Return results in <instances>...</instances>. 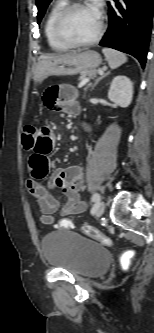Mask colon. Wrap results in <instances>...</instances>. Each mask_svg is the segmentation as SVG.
<instances>
[{"label":"colon","instance_id":"1","mask_svg":"<svg viewBox=\"0 0 154 333\" xmlns=\"http://www.w3.org/2000/svg\"><path fill=\"white\" fill-rule=\"evenodd\" d=\"M38 126L35 123L28 124L24 127L22 134H21V141H22V147L25 151H31L34 148L35 144V134L37 131ZM58 228L60 229H70L73 228V223L68 218H62L58 222ZM82 231L88 235L89 237L99 241L100 243L104 245H111L112 240L103 234L101 231H99L97 228L90 226V225H84L82 227ZM134 252L129 251L126 253L124 257V263L126 266L129 265L130 259L132 258Z\"/></svg>","mask_w":154,"mask_h":333}]
</instances>
